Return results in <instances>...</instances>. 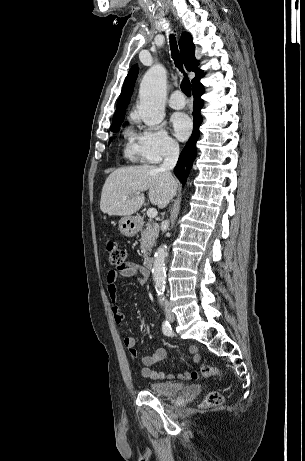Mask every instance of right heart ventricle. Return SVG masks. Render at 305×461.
I'll list each match as a JSON object with an SVG mask.
<instances>
[{
    "mask_svg": "<svg viewBox=\"0 0 305 461\" xmlns=\"http://www.w3.org/2000/svg\"><path fill=\"white\" fill-rule=\"evenodd\" d=\"M126 136L128 137V143L125 146V154L131 159H136L138 155L136 144L134 143L135 135L132 131L128 130Z\"/></svg>",
    "mask_w": 305,
    "mask_h": 461,
    "instance_id": "right-heart-ventricle-1",
    "label": "right heart ventricle"
}]
</instances>
